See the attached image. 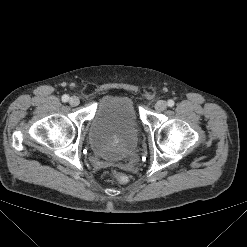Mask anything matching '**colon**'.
<instances>
[{"instance_id": "1", "label": "colon", "mask_w": 247, "mask_h": 247, "mask_svg": "<svg viewBox=\"0 0 247 247\" xmlns=\"http://www.w3.org/2000/svg\"><path fill=\"white\" fill-rule=\"evenodd\" d=\"M113 179L119 184H125L128 182L129 178L123 173L114 172L112 174Z\"/></svg>"}]
</instances>
